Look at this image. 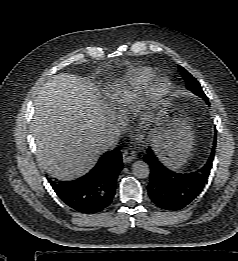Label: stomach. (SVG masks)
I'll return each mask as SVG.
<instances>
[{"label": "stomach", "mask_w": 238, "mask_h": 261, "mask_svg": "<svg viewBox=\"0 0 238 261\" xmlns=\"http://www.w3.org/2000/svg\"><path fill=\"white\" fill-rule=\"evenodd\" d=\"M149 138L158 158L171 169H178L186 162L194 140L189 118L172 105L156 113Z\"/></svg>", "instance_id": "1"}]
</instances>
